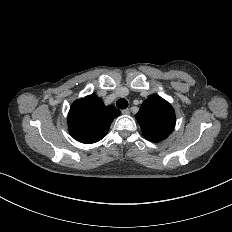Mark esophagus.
Here are the masks:
<instances>
[{"label": "esophagus", "mask_w": 232, "mask_h": 232, "mask_svg": "<svg viewBox=\"0 0 232 232\" xmlns=\"http://www.w3.org/2000/svg\"><path fill=\"white\" fill-rule=\"evenodd\" d=\"M121 113H122L123 115H129V114H130V110H129V109H123V110L121 111Z\"/></svg>", "instance_id": "obj_1"}]
</instances>
